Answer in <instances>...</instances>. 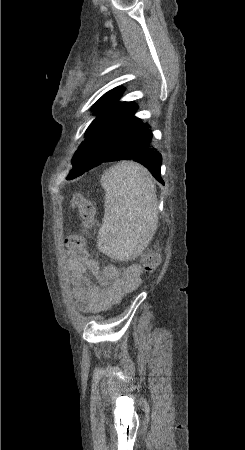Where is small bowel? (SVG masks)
Wrapping results in <instances>:
<instances>
[{
    "instance_id": "obj_1",
    "label": "small bowel",
    "mask_w": 245,
    "mask_h": 450,
    "mask_svg": "<svg viewBox=\"0 0 245 450\" xmlns=\"http://www.w3.org/2000/svg\"><path fill=\"white\" fill-rule=\"evenodd\" d=\"M66 266L74 286L76 304L87 313L107 310L141 283L142 271L137 265L123 269L101 268L99 259L89 254L86 260H78L71 250H67Z\"/></svg>"
}]
</instances>
